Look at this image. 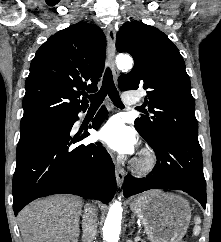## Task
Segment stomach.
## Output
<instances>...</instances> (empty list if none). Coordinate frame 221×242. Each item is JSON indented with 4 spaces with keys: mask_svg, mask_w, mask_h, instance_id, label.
I'll use <instances>...</instances> for the list:
<instances>
[{
    "mask_svg": "<svg viewBox=\"0 0 221 242\" xmlns=\"http://www.w3.org/2000/svg\"><path fill=\"white\" fill-rule=\"evenodd\" d=\"M130 208L141 219L151 242H178L191 219L185 199L160 190L139 195L131 201Z\"/></svg>",
    "mask_w": 221,
    "mask_h": 242,
    "instance_id": "stomach-1",
    "label": "stomach"
}]
</instances>
